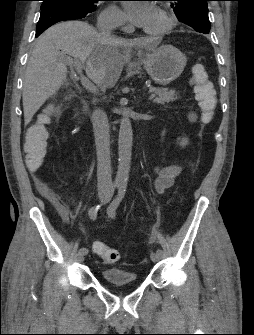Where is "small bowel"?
<instances>
[{
    "label": "small bowel",
    "instance_id": "c3829d8e",
    "mask_svg": "<svg viewBox=\"0 0 254 335\" xmlns=\"http://www.w3.org/2000/svg\"><path fill=\"white\" fill-rule=\"evenodd\" d=\"M45 141V140H43ZM181 168L179 166H168L163 167L158 170V175L155 180V188L158 193H163L167 189L173 186L176 176L180 173ZM104 246L102 242L96 241L93 244V249L95 251L96 247ZM97 254V252L95 251Z\"/></svg>",
    "mask_w": 254,
    "mask_h": 335
}]
</instances>
